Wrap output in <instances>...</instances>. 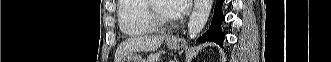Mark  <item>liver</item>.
I'll list each match as a JSON object with an SVG mask.
<instances>
[{
	"mask_svg": "<svg viewBox=\"0 0 331 62\" xmlns=\"http://www.w3.org/2000/svg\"><path fill=\"white\" fill-rule=\"evenodd\" d=\"M164 39L165 36L162 35L139 36L129 38L118 46L114 62H120L124 56H127L133 52L155 51L162 45Z\"/></svg>",
	"mask_w": 331,
	"mask_h": 62,
	"instance_id": "1",
	"label": "liver"
}]
</instances>
